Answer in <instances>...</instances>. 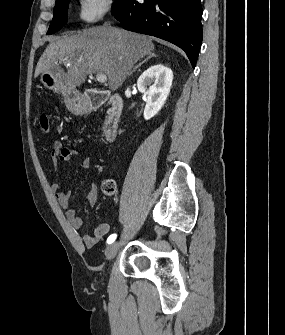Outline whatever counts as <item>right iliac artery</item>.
Segmentation results:
<instances>
[{
	"mask_svg": "<svg viewBox=\"0 0 285 335\" xmlns=\"http://www.w3.org/2000/svg\"><path fill=\"white\" fill-rule=\"evenodd\" d=\"M116 237H117L116 234H112V235H110V236L108 237V239H107V243H108V244L113 243V242L115 241Z\"/></svg>",
	"mask_w": 285,
	"mask_h": 335,
	"instance_id": "right-iliac-artery-1",
	"label": "right iliac artery"
}]
</instances>
